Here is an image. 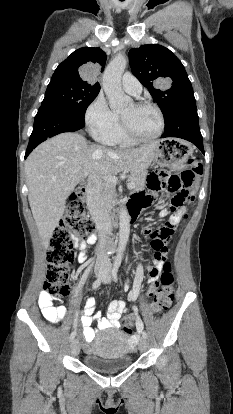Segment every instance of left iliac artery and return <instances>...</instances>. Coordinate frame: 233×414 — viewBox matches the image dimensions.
Returning a JSON list of instances; mask_svg holds the SVG:
<instances>
[{
  "mask_svg": "<svg viewBox=\"0 0 233 414\" xmlns=\"http://www.w3.org/2000/svg\"><path fill=\"white\" fill-rule=\"evenodd\" d=\"M119 267H120V262H117V263H115V265L112 269V278H113L114 281L118 280L117 273H118ZM134 310L137 311V308L134 307ZM137 327L141 328L140 332H142V336L146 339L147 338V333L145 331H142L143 323L140 321L139 318H137Z\"/></svg>",
  "mask_w": 233,
  "mask_h": 414,
  "instance_id": "left-iliac-artery-1",
  "label": "left iliac artery"
}]
</instances>
